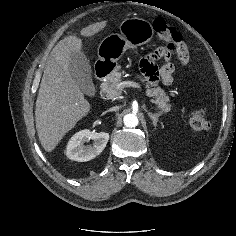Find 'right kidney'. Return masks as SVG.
<instances>
[{"label": "right kidney", "mask_w": 236, "mask_h": 236, "mask_svg": "<svg viewBox=\"0 0 236 236\" xmlns=\"http://www.w3.org/2000/svg\"><path fill=\"white\" fill-rule=\"evenodd\" d=\"M93 140V144L85 146L84 143ZM109 140V134L105 132H93L90 130H82L69 140L66 149V155L69 159L86 162L92 160L99 155Z\"/></svg>", "instance_id": "1"}]
</instances>
